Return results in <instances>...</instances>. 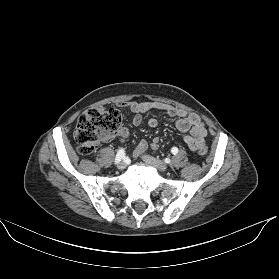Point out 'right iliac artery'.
Listing matches in <instances>:
<instances>
[{
	"label": "right iliac artery",
	"instance_id": "right-iliac-artery-1",
	"mask_svg": "<svg viewBox=\"0 0 279 279\" xmlns=\"http://www.w3.org/2000/svg\"><path fill=\"white\" fill-rule=\"evenodd\" d=\"M125 156V151L123 148L119 149L117 154H116V157H115V164L120 162Z\"/></svg>",
	"mask_w": 279,
	"mask_h": 279
}]
</instances>
